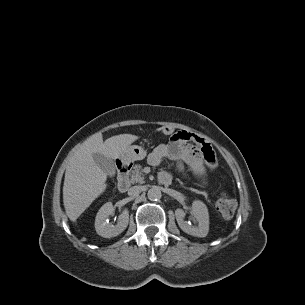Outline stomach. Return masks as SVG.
Listing matches in <instances>:
<instances>
[{
	"instance_id": "stomach-1",
	"label": "stomach",
	"mask_w": 305,
	"mask_h": 305,
	"mask_svg": "<svg viewBox=\"0 0 305 305\" xmlns=\"http://www.w3.org/2000/svg\"><path fill=\"white\" fill-rule=\"evenodd\" d=\"M147 155V151L139 145H131L127 147L125 152L121 155V160L126 163H133L134 161L143 160Z\"/></svg>"
}]
</instances>
